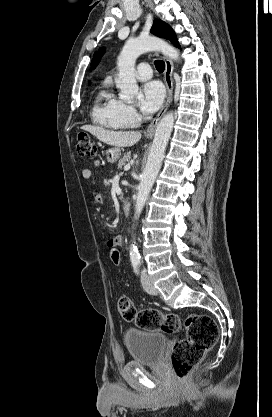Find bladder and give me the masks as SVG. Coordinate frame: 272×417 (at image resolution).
<instances>
[{"mask_svg": "<svg viewBox=\"0 0 272 417\" xmlns=\"http://www.w3.org/2000/svg\"><path fill=\"white\" fill-rule=\"evenodd\" d=\"M124 343L135 363L154 365L162 359L167 337L158 332L131 328L124 334Z\"/></svg>", "mask_w": 272, "mask_h": 417, "instance_id": "obj_1", "label": "bladder"}]
</instances>
